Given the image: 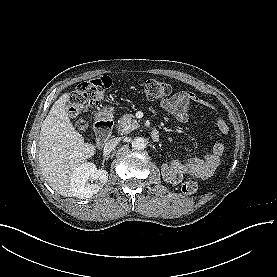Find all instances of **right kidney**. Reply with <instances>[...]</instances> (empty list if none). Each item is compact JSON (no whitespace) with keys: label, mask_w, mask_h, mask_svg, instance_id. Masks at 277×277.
Listing matches in <instances>:
<instances>
[{"label":"right kidney","mask_w":277,"mask_h":277,"mask_svg":"<svg viewBox=\"0 0 277 277\" xmlns=\"http://www.w3.org/2000/svg\"><path fill=\"white\" fill-rule=\"evenodd\" d=\"M107 177L105 170H98L94 163L88 162L75 169L72 180L81 198H88L99 191V185L93 184V181L106 182ZM89 181L92 183H88Z\"/></svg>","instance_id":"ca27d5eb"}]
</instances>
